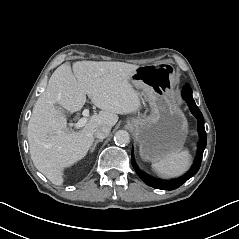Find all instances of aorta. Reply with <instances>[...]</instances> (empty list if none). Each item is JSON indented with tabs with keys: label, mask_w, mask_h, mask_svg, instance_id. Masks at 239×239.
Returning a JSON list of instances; mask_svg holds the SVG:
<instances>
[{
	"label": "aorta",
	"mask_w": 239,
	"mask_h": 239,
	"mask_svg": "<svg viewBox=\"0 0 239 239\" xmlns=\"http://www.w3.org/2000/svg\"><path fill=\"white\" fill-rule=\"evenodd\" d=\"M114 141L117 145H128L130 143V135L125 130H119L114 135Z\"/></svg>",
	"instance_id": "762f6f07"
}]
</instances>
